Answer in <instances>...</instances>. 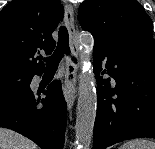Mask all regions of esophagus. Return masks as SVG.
<instances>
[{
    "mask_svg": "<svg viewBox=\"0 0 155 149\" xmlns=\"http://www.w3.org/2000/svg\"><path fill=\"white\" fill-rule=\"evenodd\" d=\"M65 9V24L69 32V43L70 49L73 57L78 55V42L77 35L74 25V12L72 5L66 3L64 5ZM76 82H77V66L73 59L70 57L66 58V72L64 81V95L67 102L68 109H71L75 97H76Z\"/></svg>",
    "mask_w": 155,
    "mask_h": 149,
    "instance_id": "obj_1",
    "label": "esophagus"
}]
</instances>
